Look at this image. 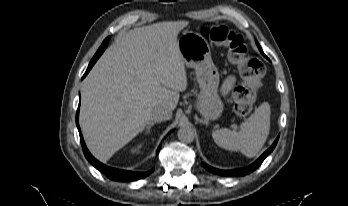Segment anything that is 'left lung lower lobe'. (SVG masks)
Masks as SVG:
<instances>
[{"instance_id": "left-lung-lower-lobe-1", "label": "left lung lower lobe", "mask_w": 348, "mask_h": 206, "mask_svg": "<svg viewBox=\"0 0 348 206\" xmlns=\"http://www.w3.org/2000/svg\"><path fill=\"white\" fill-rule=\"evenodd\" d=\"M258 47H259V45H258ZM278 138L274 141L272 146L260 156V158L257 161H255L252 165H250L246 168L235 169V170H219V169L210 167L209 165H207L205 163H202V165L208 171L213 172L215 174L224 175V176H243V175L249 174L250 172L254 171L256 168H258L262 164V162L265 160V158L273 151V149L275 148V146L277 144Z\"/></svg>"}]
</instances>
